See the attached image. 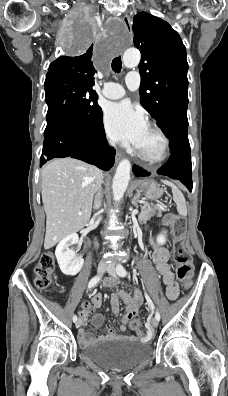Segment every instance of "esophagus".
I'll return each mask as SVG.
<instances>
[{"label": "esophagus", "mask_w": 228, "mask_h": 396, "mask_svg": "<svg viewBox=\"0 0 228 396\" xmlns=\"http://www.w3.org/2000/svg\"><path fill=\"white\" fill-rule=\"evenodd\" d=\"M123 22H124L125 24L131 26V19H130V16H129V15H125L124 18H123ZM121 157H122V154H121L120 152H117V153H116V157H115L116 162H119L120 159H121Z\"/></svg>", "instance_id": "obj_1"}]
</instances>
